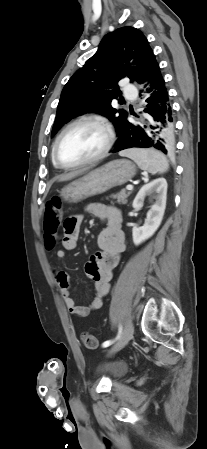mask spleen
Returning a JSON list of instances; mask_svg holds the SVG:
<instances>
[{"label": "spleen", "mask_w": 207, "mask_h": 449, "mask_svg": "<svg viewBox=\"0 0 207 449\" xmlns=\"http://www.w3.org/2000/svg\"><path fill=\"white\" fill-rule=\"evenodd\" d=\"M120 156L132 159L140 169L151 174L164 173L169 169L166 157L154 149H127L121 151Z\"/></svg>", "instance_id": "obj_1"}]
</instances>
